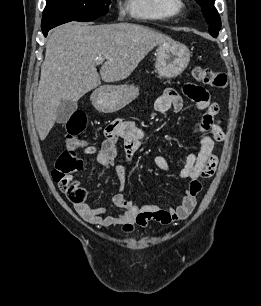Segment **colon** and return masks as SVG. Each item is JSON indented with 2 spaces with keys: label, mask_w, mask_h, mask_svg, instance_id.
Instances as JSON below:
<instances>
[{
  "label": "colon",
  "mask_w": 261,
  "mask_h": 306,
  "mask_svg": "<svg viewBox=\"0 0 261 306\" xmlns=\"http://www.w3.org/2000/svg\"><path fill=\"white\" fill-rule=\"evenodd\" d=\"M193 76L199 82L214 89H222L227 84V77L224 73L216 72L210 68L196 66L193 69ZM86 116L81 111L74 112L66 122V149L60 154L56 167L52 171L53 180L59 188L65 192L68 199L75 203H82L85 195L84 190L73 180L72 174L82 169L83 162L76 153L79 136L86 128Z\"/></svg>",
  "instance_id": "obj_1"
}]
</instances>
